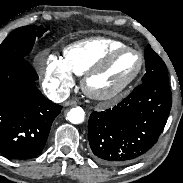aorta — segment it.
I'll return each mask as SVG.
<instances>
[{
  "label": "aorta",
  "mask_w": 183,
  "mask_h": 183,
  "mask_svg": "<svg viewBox=\"0 0 183 183\" xmlns=\"http://www.w3.org/2000/svg\"><path fill=\"white\" fill-rule=\"evenodd\" d=\"M85 113L81 107L72 108L67 113V119L73 124H80L84 121Z\"/></svg>",
  "instance_id": "1"
}]
</instances>
